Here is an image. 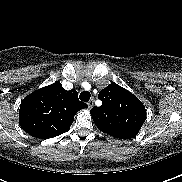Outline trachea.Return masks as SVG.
Segmentation results:
<instances>
[{
    "instance_id": "trachea-1",
    "label": "trachea",
    "mask_w": 182,
    "mask_h": 182,
    "mask_svg": "<svg viewBox=\"0 0 182 182\" xmlns=\"http://www.w3.org/2000/svg\"><path fill=\"white\" fill-rule=\"evenodd\" d=\"M90 97H91V94L88 91L81 92L79 96L80 100L84 102H88Z\"/></svg>"
}]
</instances>
